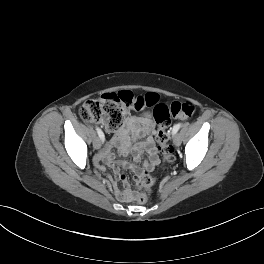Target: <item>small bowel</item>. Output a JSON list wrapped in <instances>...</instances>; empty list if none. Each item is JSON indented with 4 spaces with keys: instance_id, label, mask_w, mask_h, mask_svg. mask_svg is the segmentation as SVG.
Masks as SVG:
<instances>
[{
    "instance_id": "small-bowel-1",
    "label": "small bowel",
    "mask_w": 264,
    "mask_h": 264,
    "mask_svg": "<svg viewBox=\"0 0 264 264\" xmlns=\"http://www.w3.org/2000/svg\"><path fill=\"white\" fill-rule=\"evenodd\" d=\"M155 122L149 112H143L138 116L128 117L123 128H121L112 138L109 145L104 148L97 156L96 163L101 167L102 163L109 165L118 180L122 182L120 187L116 180L112 182L113 191L116 197L123 201H130L133 198V192L127 182V178L121 173V167L129 169L138 175L145 170H152L158 164V154L154 138ZM131 137L139 139L145 137L143 141L132 142ZM113 146H118L123 155L132 153L136 162L140 159V153L145 151L148 154V160L141 168L137 164L122 162L117 163L111 151Z\"/></svg>"
}]
</instances>
